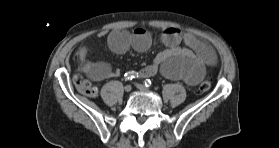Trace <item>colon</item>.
I'll use <instances>...</instances> for the list:
<instances>
[{
	"label": "colon",
	"instance_id": "colon-1",
	"mask_svg": "<svg viewBox=\"0 0 279 148\" xmlns=\"http://www.w3.org/2000/svg\"><path fill=\"white\" fill-rule=\"evenodd\" d=\"M74 84L76 89L85 96L94 97L97 95V89L85 78L81 75H75ZM211 88V81L210 79H204L201 83L197 86L196 92L198 94H202L207 92Z\"/></svg>",
	"mask_w": 279,
	"mask_h": 148
}]
</instances>
